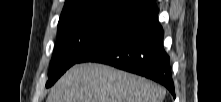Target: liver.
<instances>
[{
	"label": "liver",
	"instance_id": "1",
	"mask_svg": "<svg viewBox=\"0 0 221 102\" xmlns=\"http://www.w3.org/2000/svg\"><path fill=\"white\" fill-rule=\"evenodd\" d=\"M160 85L113 67L84 63L70 68L52 87L46 102H162Z\"/></svg>",
	"mask_w": 221,
	"mask_h": 102
}]
</instances>
